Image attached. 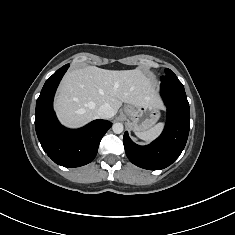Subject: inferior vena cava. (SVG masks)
Wrapping results in <instances>:
<instances>
[{
	"label": "inferior vena cava",
	"instance_id": "obj_1",
	"mask_svg": "<svg viewBox=\"0 0 235 235\" xmlns=\"http://www.w3.org/2000/svg\"><path fill=\"white\" fill-rule=\"evenodd\" d=\"M97 115L99 118L107 119L114 116V111L111 106L104 104L98 108Z\"/></svg>",
	"mask_w": 235,
	"mask_h": 235
}]
</instances>
